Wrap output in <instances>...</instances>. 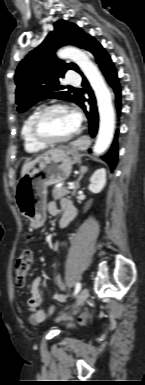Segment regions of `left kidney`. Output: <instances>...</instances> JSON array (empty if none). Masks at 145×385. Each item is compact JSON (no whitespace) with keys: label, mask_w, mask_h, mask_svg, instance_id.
I'll return each instance as SVG.
<instances>
[{"label":"left kidney","mask_w":145,"mask_h":385,"mask_svg":"<svg viewBox=\"0 0 145 385\" xmlns=\"http://www.w3.org/2000/svg\"><path fill=\"white\" fill-rule=\"evenodd\" d=\"M106 184V170L105 168H100L94 172L90 178V184L88 189L92 193H99Z\"/></svg>","instance_id":"obj_1"}]
</instances>
